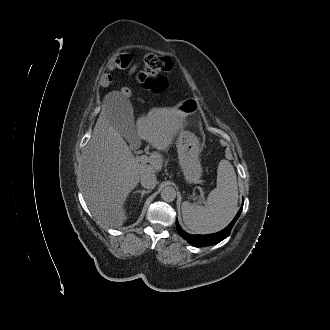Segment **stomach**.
Segmentation results:
<instances>
[{
  "label": "stomach",
  "mask_w": 330,
  "mask_h": 330,
  "mask_svg": "<svg viewBox=\"0 0 330 330\" xmlns=\"http://www.w3.org/2000/svg\"><path fill=\"white\" fill-rule=\"evenodd\" d=\"M180 117H187L197 113L199 102L196 98L189 97L180 101L174 108ZM177 151L181 171L184 179L189 184H195L202 176L203 170L199 159L201 145L197 136L188 131H181L177 137Z\"/></svg>",
  "instance_id": "0dacf381"
}]
</instances>
